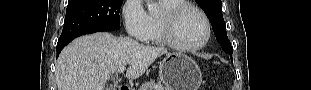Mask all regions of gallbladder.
Listing matches in <instances>:
<instances>
[{"label": "gallbladder", "instance_id": "bac80fb5", "mask_svg": "<svg viewBox=\"0 0 311 90\" xmlns=\"http://www.w3.org/2000/svg\"><path fill=\"white\" fill-rule=\"evenodd\" d=\"M113 86H109V87H107V89H109V90H113Z\"/></svg>", "mask_w": 311, "mask_h": 90}]
</instances>
